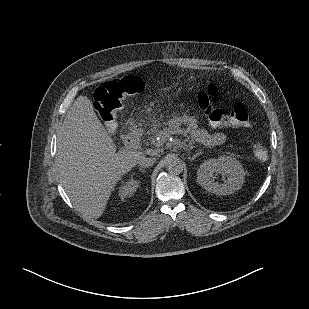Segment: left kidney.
<instances>
[{
    "instance_id": "obj_1",
    "label": "left kidney",
    "mask_w": 309,
    "mask_h": 309,
    "mask_svg": "<svg viewBox=\"0 0 309 309\" xmlns=\"http://www.w3.org/2000/svg\"><path fill=\"white\" fill-rule=\"evenodd\" d=\"M220 175L223 182L215 181ZM245 172L242 164L230 156L222 155L204 161L197 170V181L206 191L216 195H230L242 188Z\"/></svg>"
}]
</instances>
